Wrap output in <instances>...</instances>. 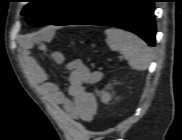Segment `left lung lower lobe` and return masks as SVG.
<instances>
[{"label": "left lung lower lobe", "instance_id": "obj_1", "mask_svg": "<svg viewBox=\"0 0 182 140\" xmlns=\"http://www.w3.org/2000/svg\"><path fill=\"white\" fill-rule=\"evenodd\" d=\"M155 0H102L90 12L69 25L114 26L131 31L155 46Z\"/></svg>", "mask_w": 182, "mask_h": 140}]
</instances>
